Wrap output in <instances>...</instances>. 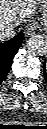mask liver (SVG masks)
<instances>
[{"mask_svg": "<svg viewBox=\"0 0 47 129\" xmlns=\"http://www.w3.org/2000/svg\"><path fill=\"white\" fill-rule=\"evenodd\" d=\"M38 2L39 0H0V28L15 27L25 18L31 17L35 14Z\"/></svg>", "mask_w": 47, "mask_h": 129, "instance_id": "obj_1", "label": "liver"}]
</instances>
